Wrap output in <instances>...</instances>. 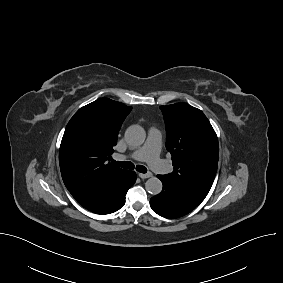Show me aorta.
<instances>
[{"instance_id":"762f6f07","label":"aorta","mask_w":283,"mask_h":283,"mask_svg":"<svg viewBox=\"0 0 283 283\" xmlns=\"http://www.w3.org/2000/svg\"><path fill=\"white\" fill-rule=\"evenodd\" d=\"M145 138V130L140 125H131L125 132V139L131 146L142 145ZM162 187V182L157 177H151L145 183L146 190L152 195L159 194L162 191Z\"/></svg>"}]
</instances>
